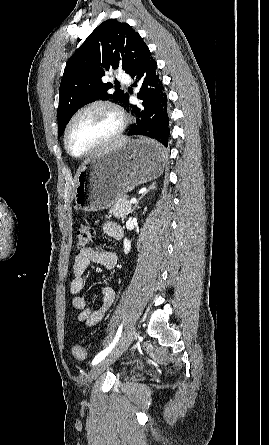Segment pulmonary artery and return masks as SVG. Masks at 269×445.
<instances>
[{
  "mask_svg": "<svg viewBox=\"0 0 269 445\" xmlns=\"http://www.w3.org/2000/svg\"><path fill=\"white\" fill-rule=\"evenodd\" d=\"M117 79L121 82H128L129 77L126 74L120 73L117 75Z\"/></svg>",
  "mask_w": 269,
  "mask_h": 445,
  "instance_id": "pulmonary-artery-1",
  "label": "pulmonary artery"
}]
</instances>
